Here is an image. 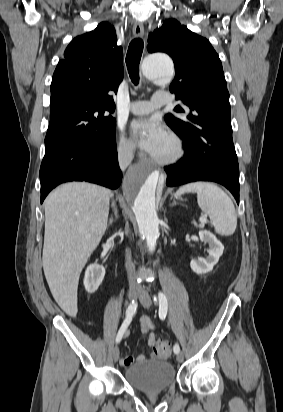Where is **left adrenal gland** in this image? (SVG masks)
<instances>
[{"instance_id": "a2214340", "label": "left adrenal gland", "mask_w": 283, "mask_h": 412, "mask_svg": "<svg viewBox=\"0 0 283 412\" xmlns=\"http://www.w3.org/2000/svg\"><path fill=\"white\" fill-rule=\"evenodd\" d=\"M177 203H176V201L175 200H173V203L172 204H170V206L172 207V206H174V205H176Z\"/></svg>"}]
</instances>
